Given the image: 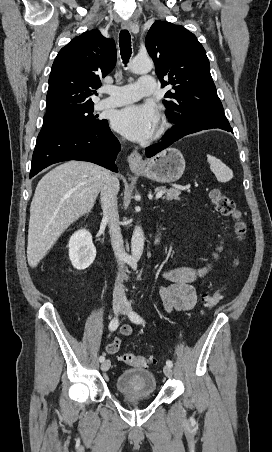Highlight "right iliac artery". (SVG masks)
I'll list each match as a JSON object with an SVG mask.
<instances>
[{
    "instance_id": "obj_1",
    "label": "right iliac artery",
    "mask_w": 272,
    "mask_h": 452,
    "mask_svg": "<svg viewBox=\"0 0 272 452\" xmlns=\"http://www.w3.org/2000/svg\"><path fill=\"white\" fill-rule=\"evenodd\" d=\"M118 326H119L118 318H117V317H114V318L111 320L110 324H109V330H110V331H115V330L117 329ZM104 360H105V357H104L103 355H101V356L99 357V361H100V362H103Z\"/></svg>"
}]
</instances>
